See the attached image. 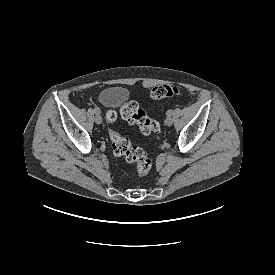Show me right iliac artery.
Returning a JSON list of instances; mask_svg holds the SVG:
<instances>
[{"label": "right iliac artery", "instance_id": "82829eb1", "mask_svg": "<svg viewBox=\"0 0 275 275\" xmlns=\"http://www.w3.org/2000/svg\"><path fill=\"white\" fill-rule=\"evenodd\" d=\"M93 111L96 113V112H100V109L98 108V107H95L94 109H93Z\"/></svg>", "mask_w": 275, "mask_h": 275}]
</instances>
